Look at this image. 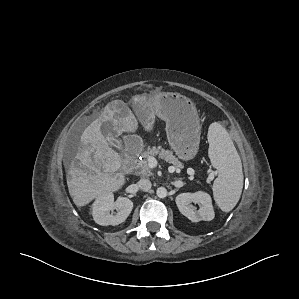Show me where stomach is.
<instances>
[{
  "label": "stomach",
  "instance_id": "stomach-1",
  "mask_svg": "<svg viewBox=\"0 0 299 299\" xmlns=\"http://www.w3.org/2000/svg\"><path fill=\"white\" fill-rule=\"evenodd\" d=\"M151 113L166 122L169 145L188 161L199 149L201 125L195 104L178 92H156L147 98Z\"/></svg>",
  "mask_w": 299,
  "mask_h": 299
}]
</instances>
